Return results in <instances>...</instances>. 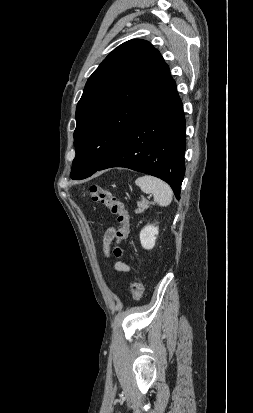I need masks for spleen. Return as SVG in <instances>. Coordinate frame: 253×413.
<instances>
[{"instance_id": "1", "label": "spleen", "mask_w": 253, "mask_h": 413, "mask_svg": "<svg viewBox=\"0 0 253 413\" xmlns=\"http://www.w3.org/2000/svg\"><path fill=\"white\" fill-rule=\"evenodd\" d=\"M135 183L144 193L153 194L154 201L158 205L164 207L168 206L171 203L173 192L170 186L163 180L153 176L145 175L137 178Z\"/></svg>"}]
</instances>
